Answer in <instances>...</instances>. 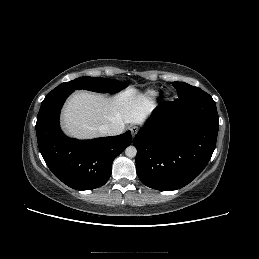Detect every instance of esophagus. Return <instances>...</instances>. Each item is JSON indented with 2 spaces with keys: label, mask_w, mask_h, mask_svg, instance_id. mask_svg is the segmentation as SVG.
Segmentation results:
<instances>
[{
  "label": "esophagus",
  "mask_w": 259,
  "mask_h": 259,
  "mask_svg": "<svg viewBox=\"0 0 259 259\" xmlns=\"http://www.w3.org/2000/svg\"><path fill=\"white\" fill-rule=\"evenodd\" d=\"M137 132H138V127L133 126V127L131 128L132 136L134 137V136L137 134Z\"/></svg>",
  "instance_id": "esophagus-1"
}]
</instances>
